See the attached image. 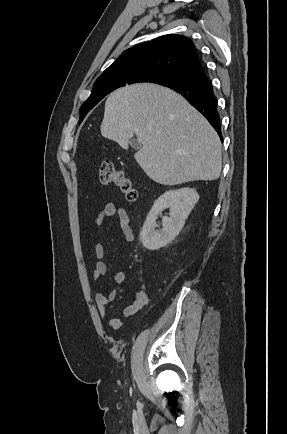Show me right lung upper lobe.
Masks as SVG:
<instances>
[{"instance_id":"cb5924a9","label":"right lung upper lobe","mask_w":287,"mask_h":434,"mask_svg":"<svg viewBox=\"0 0 287 434\" xmlns=\"http://www.w3.org/2000/svg\"><path fill=\"white\" fill-rule=\"evenodd\" d=\"M201 65L196 47L181 35H164L124 51L98 78L144 70H163L179 75ZM173 82L161 85L167 86Z\"/></svg>"}]
</instances>
